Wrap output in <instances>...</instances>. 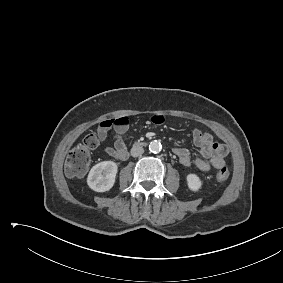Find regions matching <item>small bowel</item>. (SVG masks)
<instances>
[{
	"label": "small bowel",
	"mask_w": 283,
	"mask_h": 283,
	"mask_svg": "<svg viewBox=\"0 0 283 283\" xmlns=\"http://www.w3.org/2000/svg\"><path fill=\"white\" fill-rule=\"evenodd\" d=\"M163 121L162 115H155L152 118L154 124H162ZM110 130L114 132L115 143L114 146L105 147L104 152L118 160H125L128 157L127 147L124 142V136L128 131V118L121 116L102 121L98 129V138L101 142L105 141ZM193 141L200 149L199 155L194 158L186 148L176 147L173 149L174 154L183 166L188 167L194 164L203 172H208L212 168L220 169L225 167V159L229 153L225 144L215 142L210 133L197 128L193 130Z\"/></svg>",
	"instance_id": "small-bowel-1"
}]
</instances>
